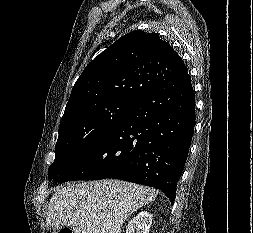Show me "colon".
Here are the masks:
<instances>
[{
    "label": "colon",
    "instance_id": "1",
    "mask_svg": "<svg viewBox=\"0 0 253 233\" xmlns=\"http://www.w3.org/2000/svg\"><path fill=\"white\" fill-rule=\"evenodd\" d=\"M56 233H72V231L68 228H62L60 230H58V232Z\"/></svg>",
    "mask_w": 253,
    "mask_h": 233
}]
</instances>
